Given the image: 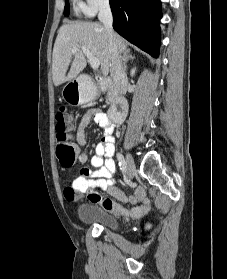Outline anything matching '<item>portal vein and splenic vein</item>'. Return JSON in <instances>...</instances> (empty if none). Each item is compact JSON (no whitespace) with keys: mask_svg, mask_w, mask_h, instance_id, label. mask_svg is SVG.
I'll use <instances>...</instances> for the list:
<instances>
[{"mask_svg":"<svg viewBox=\"0 0 227 279\" xmlns=\"http://www.w3.org/2000/svg\"><path fill=\"white\" fill-rule=\"evenodd\" d=\"M81 50L83 51L85 56L88 58V61L91 65V67L93 69H98L99 65H100L99 60L93 56V54L90 52V50L87 47L81 46ZM77 51H78V47H74L72 50L73 53H76Z\"/></svg>","mask_w":227,"mask_h":279,"instance_id":"obj_1","label":"portal vein and splenic vein"}]
</instances>
